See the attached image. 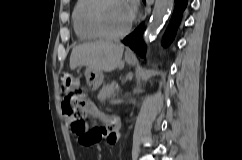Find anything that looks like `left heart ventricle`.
Returning <instances> with one entry per match:
<instances>
[{
	"instance_id": "b2bd125f",
	"label": "left heart ventricle",
	"mask_w": 242,
	"mask_h": 160,
	"mask_svg": "<svg viewBox=\"0 0 242 160\" xmlns=\"http://www.w3.org/2000/svg\"><path fill=\"white\" fill-rule=\"evenodd\" d=\"M131 19L132 15L125 0H106L100 11L101 25L110 34L121 33Z\"/></svg>"
}]
</instances>
